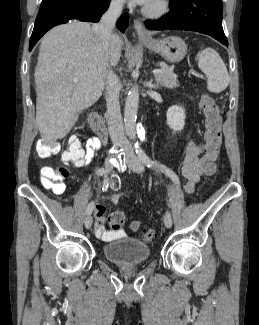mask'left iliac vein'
<instances>
[{"mask_svg":"<svg viewBox=\"0 0 259 325\" xmlns=\"http://www.w3.org/2000/svg\"><path fill=\"white\" fill-rule=\"evenodd\" d=\"M126 163L128 167L135 173L140 174L144 171V166L141 160L131 150L126 153ZM164 225L167 228H170L172 226V217L169 211H166L164 215Z\"/></svg>","mask_w":259,"mask_h":325,"instance_id":"left-iliac-vein-1","label":"left iliac vein"}]
</instances>
